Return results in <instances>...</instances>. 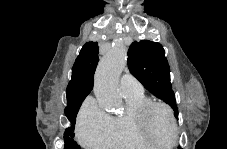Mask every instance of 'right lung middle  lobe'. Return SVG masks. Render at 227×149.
Segmentation results:
<instances>
[{
	"label": "right lung middle lobe",
	"mask_w": 227,
	"mask_h": 149,
	"mask_svg": "<svg viewBox=\"0 0 227 149\" xmlns=\"http://www.w3.org/2000/svg\"><path fill=\"white\" fill-rule=\"evenodd\" d=\"M82 104V101L73 107L65 108V115L71 123V126L66 128L64 133V149H80V147L74 141V125L76 121V115Z\"/></svg>",
	"instance_id": "obj_1"
}]
</instances>
